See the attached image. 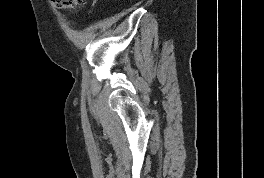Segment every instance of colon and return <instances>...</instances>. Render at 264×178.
<instances>
[{
  "label": "colon",
  "mask_w": 264,
  "mask_h": 178,
  "mask_svg": "<svg viewBox=\"0 0 264 178\" xmlns=\"http://www.w3.org/2000/svg\"><path fill=\"white\" fill-rule=\"evenodd\" d=\"M52 4L59 9L74 10L86 3V0H51Z\"/></svg>",
  "instance_id": "5ec220e1"
}]
</instances>
